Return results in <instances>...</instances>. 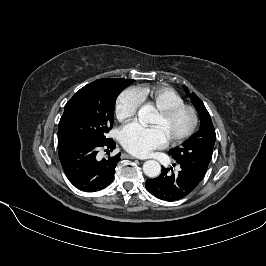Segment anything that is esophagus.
<instances>
[{
    "instance_id": "1",
    "label": "esophagus",
    "mask_w": 266,
    "mask_h": 266,
    "mask_svg": "<svg viewBox=\"0 0 266 266\" xmlns=\"http://www.w3.org/2000/svg\"><path fill=\"white\" fill-rule=\"evenodd\" d=\"M122 158L137 159L136 157L129 155V154H122Z\"/></svg>"
}]
</instances>
